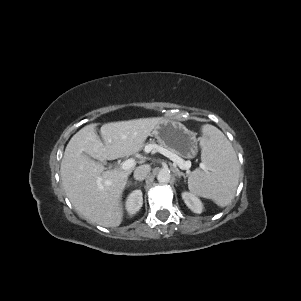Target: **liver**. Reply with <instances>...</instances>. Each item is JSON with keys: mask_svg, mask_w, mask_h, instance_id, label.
Returning <instances> with one entry per match:
<instances>
[{"mask_svg": "<svg viewBox=\"0 0 301 301\" xmlns=\"http://www.w3.org/2000/svg\"><path fill=\"white\" fill-rule=\"evenodd\" d=\"M163 120L155 117L104 124L100 128L104 142L95 126L87 125L70 139L61 161V180L67 197L81 215L104 227L121 224L122 194L133 167L105 171L101 162L138 153Z\"/></svg>", "mask_w": 301, "mask_h": 301, "instance_id": "1", "label": "liver"}]
</instances>
